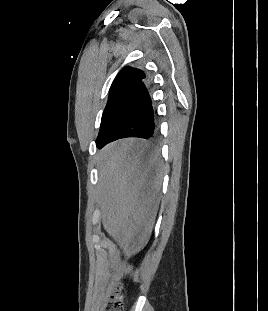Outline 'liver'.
I'll return each mask as SVG.
<instances>
[{
  "mask_svg": "<svg viewBox=\"0 0 268 311\" xmlns=\"http://www.w3.org/2000/svg\"><path fill=\"white\" fill-rule=\"evenodd\" d=\"M98 205L105 231L126 258L148 242L160 203L162 163L143 140L128 138L99 152Z\"/></svg>",
  "mask_w": 268,
  "mask_h": 311,
  "instance_id": "obj_1",
  "label": "liver"
}]
</instances>
